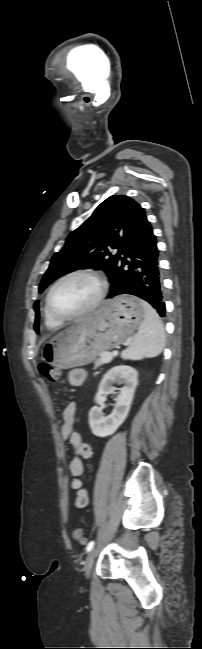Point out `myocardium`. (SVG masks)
I'll list each match as a JSON object with an SVG mask.
<instances>
[{
  "label": "myocardium",
  "mask_w": 202,
  "mask_h": 649,
  "mask_svg": "<svg viewBox=\"0 0 202 649\" xmlns=\"http://www.w3.org/2000/svg\"><path fill=\"white\" fill-rule=\"evenodd\" d=\"M77 275H83V276L90 277L97 283V285H98L97 296L95 297V299L87 307H85L81 311H79L77 313H74L72 315H68V316L61 315V314L57 313L54 310V308L52 307L51 297H52L53 292L55 291L56 287L61 282H63L64 280H66V279H68L70 277L77 276ZM107 292H108V281H107L106 277L100 271L95 270V269H91V268H78V269H74V270H71V271L63 274L62 276H60L52 284V286L49 288V290L47 292V295H46L45 306H46V309H47L49 315L53 319H55L56 321L61 322V323L67 322V321H72V320L78 319V318H80L82 316H85V315L91 313L92 311H94L102 303V301L106 297Z\"/></svg>",
  "instance_id": "f54148a6"
}]
</instances>
